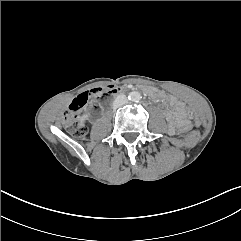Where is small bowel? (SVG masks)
<instances>
[{
	"mask_svg": "<svg viewBox=\"0 0 241 241\" xmlns=\"http://www.w3.org/2000/svg\"><path fill=\"white\" fill-rule=\"evenodd\" d=\"M167 101L173 107V111L167 115L170 131L173 133L175 127H181L188 124L185 118L186 110L184 103L174 97H168Z\"/></svg>",
	"mask_w": 241,
	"mask_h": 241,
	"instance_id": "obj_1",
	"label": "small bowel"
}]
</instances>
